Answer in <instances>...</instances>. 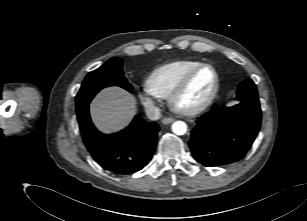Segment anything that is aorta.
Here are the masks:
<instances>
[{
	"instance_id": "aorta-1",
	"label": "aorta",
	"mask_w": 307,
	"mask_h": 221,
	"mask_svg": "<svg viewBox=\"0 0 307 221\" xmlns=\"http://www.w3.org/2000/svg\"><path fill=\"white\" fill-rule=\"evenodd\" d=\"M172 131L176 135H184L187 132V125L183 121H176L172 124Z\"/></svg>"
}]
</instances>
